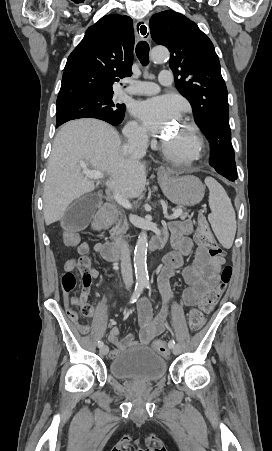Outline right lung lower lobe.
<instances>
[{"label":"right lung lower lobe","mask_w":272,"mask_h":451,"mask_svg":"<svg viewBox=\"0 0 272 451\" xmlns=\"http://www.w3.org/2000/svg\"><path fill=\"white\" fill-rule=\"evenodd\" d=\"M76 119H78V118H76ZM73 120V119H72ZM102 120V119H101ZM105 121V120H104ZM67 122V121H66ZM63 123H65V122H63ZM63 123H59V124H56V128H58L60 125H62Z\"/></svg>","instance_id":"obj_1"}]
</instances>
